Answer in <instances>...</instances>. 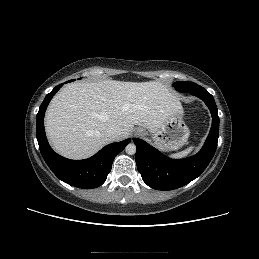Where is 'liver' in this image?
I'll list each match as a JSON object with an SVG mask.
<instances>
[{
	"label": "liver",
	"instance_id": "6515ba94",
	"mask_svg": "<svg viewBox=\"0 0 259 259\" xmlns=\"http://www.w3.org/2000/svg\"><path fill=\"white\" fill-rule=\"evenodd\" d=\"M179 106L178 96L157 81L70 83L52 99L45 129L55 151L83 159L111 142L108 127L121 128L117 141L129 137L134 125L153 133Z\"/></svg>",
	"mask_w": 259,
	"mask_h": 259
}]
</instances>
